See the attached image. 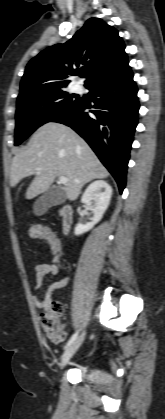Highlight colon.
Here are the masks:
<instances>
[{"mask_svg": "<svg viewBox=\"0 0 165 419\" xmlns=\"http://www.w3.org/2000/svg\"><path fill=\"white\" fill-rule=\"evenodd\" d=\"M30 236L35 240H46L53 254L59 260L61 256V243L58 237L47 228L34 226L30 229ZM63 313V305L59 301H52L45 311L40 315V324L43 331L55 343H61L66 338V332L63 330L60 317Z\"/></svg>", "mask_w": 165, "mask_h": 419, "instance_id": "5ec220e1", "label": "colon"}]
</instances>
